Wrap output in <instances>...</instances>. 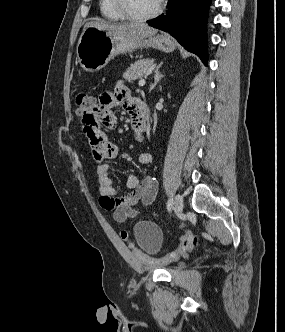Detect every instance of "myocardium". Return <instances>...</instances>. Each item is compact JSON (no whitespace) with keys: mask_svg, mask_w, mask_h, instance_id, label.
Here are the masks:
<instances>
[{"mask_svg":"<svg viewBox=\"0 0 285 332\" xmlns=\"http://www.w3.org/2000/svg\"><path fill=\"white\" fill-rule=\"evenodd\" d=\"M117 10L126 18L136 22H144L157 17L161 11L162 6H159L151 13L145 15H139L132 11L128 0H113Z\"/></svg>","mask_w":285,"mask_h":332,"instance_id":"f54148a6","label":"myocardium"}]
</instances>
